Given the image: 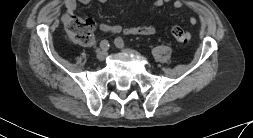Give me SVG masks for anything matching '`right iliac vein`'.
I'll use <instances>...</instances> for the list:
<instances>
[{"label": "right iliac vein", "instance_id": "obj_1", "mask_svg": "<svg viewBox=\"0 0 253 138\" xmlns=\"http://www.w3.org/2000/svg\"><path fill=\"white\" fill-rule=\"evenodd\" d=\"M107 57V52L105 50L98 52L97 59L99 61H104Z\"/></svg>", "mask_w": 253, "mask_h": 138}]
</instances>
